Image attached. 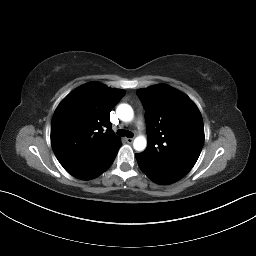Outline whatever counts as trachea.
Returning a JSON list of instances; mask_svg holds the SVG:
<instances>
[{"label":"trachea","mask_w":256,"mask_h":256,"mask_svg":"<svg viewBox=\"0 0 256 256\" xmlns=\"http://www.w3.org/2000/svg\"><path fill=\"white\" fill-rule=\"evenodd\" d=\"M117 134L121 137H128V138H132L133 137V133L131 131H128V130H124V129H119L117 131Z\"/></svg>","instance_id":"1"}]
</instances>
